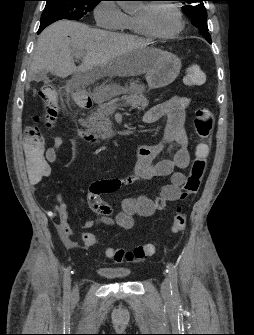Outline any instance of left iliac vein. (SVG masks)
Instances as JSON below:
<instances>
[{
    "mask_svg": "<svg viewBox=\"0 0 254 335\" xmlns=\"http://www.w3.org/2000/svg\"><path fill=\"white\" fill-rule=\"evenodd\" d=\"M161 292L163 295L168 296L171 292V282L170 278L166 277L161 284Z\"/></svg>",
    "mask_w": 254,
    "mask_h": 335,
    "instance_id": "4c4485c4",
    "label": "left iliac vein"
}]
</instances>
